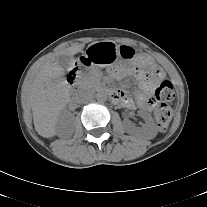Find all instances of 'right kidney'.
Instances as JSON below:
<instances>
[{
  "instance_id": "ca27d5eb",
  "label": "right kidney",
  "mask_w": 207,
  "mask_h": 207,
  "mask_svg": "<svg viewBox=\"0 0 207 207\" xmlns=\"http://www.w3.org/2000/svg\"><path fill=\"white\" fill-rule=\"evenodd\" d=\"M70 119H71V114L69 112L66 111L62 112L58 118L57 127L58 128L65 127L69 123Z\"/></svg>"
}]
</instances>
